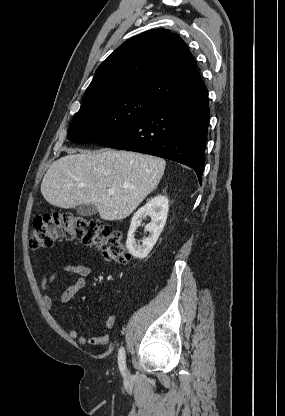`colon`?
Listing matches in <instances>:
<instances>
[{"instance_id": "5ec220e1", "label": "colon", "mask_w": 285, "mask_h": 416, "mask_svg": "<svg viewBox=\"0 0 285 416\" xmlns=\"http://www.w3.org/2000/svg\"><path fill=\"white\" fill-rule=\"evenodd\" d=\"M60 239H76L87 246L95 245L105 258L119 263L128 260L121 233L97 219L55 213L34 220L30 248H49Z\"/></svg>"}]
</instances>
